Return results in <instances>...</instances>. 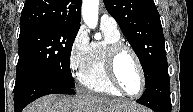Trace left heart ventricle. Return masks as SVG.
<instances>
[{
    "instance_id": "obj_1",
    "label": "left heart ventricle",
    "mask_w": 193,
    "mask_h": 112,
    "mask_svg": "<svg viewBox=\"0 0 193 112\" xmlns=\"http://www.w3.org/2000/svg\"><path fill=\"white\" fill-rule=\"evenodd\" d=\"M116 71L124 89L130 94H137L141 87V79L136 62L129 52H123L119 56Z\"/></svg>"
}]
</instances>
